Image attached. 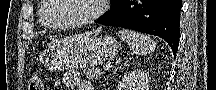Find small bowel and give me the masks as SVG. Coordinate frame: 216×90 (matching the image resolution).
Instances as JSON below:
<instances>
[{
  "label": "small bowel",
  "mask_w": 216,
  "mask_h": 90,
  "mask_svg": "<svg viewBox=\"0 0 216 90\" xmlns=\"http://www.w3.org/2000/svg\"><path fill=\"white\" fill-rule=\"evenodd\" d=\"M62 81L66 88H76L77 90H93L91 83L84 80L77 70L66 71Z\"/></svg>",
  "instance_id": "1"
}]
</instances>
